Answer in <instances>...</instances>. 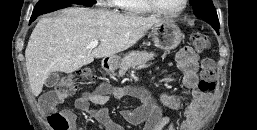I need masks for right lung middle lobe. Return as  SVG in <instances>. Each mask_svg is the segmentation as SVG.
<instances>
[{
    "instance_id": "right-lung-middle-lobe-1",
    "label": "right lung middle lobe",
    "mask_w": 257,
    "mask_h": 130,
    "mask_svg": "<svg viewBox=\"0 0 257 130\" xmlns=\"http://www.w3.org/2000/svg\"><path fill=\"white\" fill-rule=\"evenodd\" d=\"M94 0H39L36 4L32 16L35 19L38 15L57 10L70 4H79L91 7Z\"/></svg>"
}]
</instances>
